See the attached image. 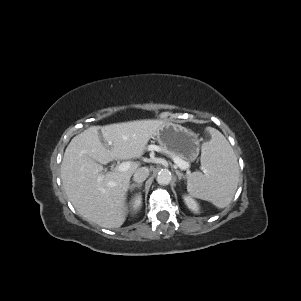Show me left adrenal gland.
I'll return each instance as SVG.
<instances>
[{"mask_svg": "<svg viewBox=\"0 0 301 301\" xmlns=\"http://www.w3.org/2000/svg\"><path fill=\"white\" fill-rule=\"evenodd\" d=\"M175 172H176L179 180L186 179V176L184 174H182L180 171L176 170Z\"/></svg>", "mask_w": 301, "mask_h": 301, "instance_id": "1", "label": "left adrenal gland"}]
</instances>
